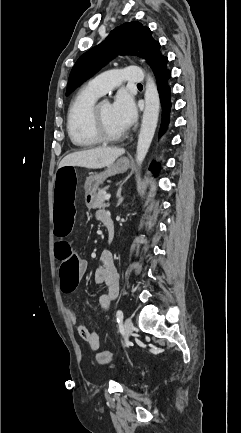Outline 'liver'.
<instances>
[{"label": "liver", "mask_w": 241, "mask_h": 433, "mask_svg": "<svg viewBox=\"0 0 241 433\" xmlns=\"http://www.w3.org/2000/svg\"><path fill=\"white\" fill-rule=\"evenodd\" d=\"M124 153L125 149L109 147L73 152L66 155L61 160L59 168L71 165L89 169H101L113 164L115 160Z\"/></svg>", "instance_id": "6515ba94"}]
</instances>
